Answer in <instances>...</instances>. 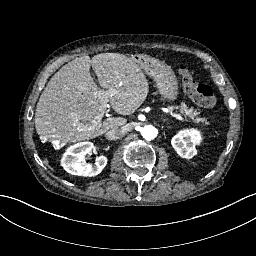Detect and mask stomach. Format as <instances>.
<instances>
[{"label": "stomach", "instance_id": "1", "mask_svg": "<svg viewBox=\"0 0 256 256\" xmlns=\"http://www.w3.org/2000/svg\"><path fill=\"white\" fill-rule=\"evenodd\" d=\"M135 65L142 72L152 75L160 95L169 101H174L178 94L177 79L162 60L147 53H140L135 58Z\"/></svg>", "mask_w": 256, "mask_h": 256}]
</instances>
